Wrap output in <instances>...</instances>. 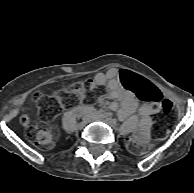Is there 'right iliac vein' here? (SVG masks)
I'll return each mask as SVG.
<instances>
[{
    "instance_id": "right-iliac-vein-1",
    "label": "right iliac vein",
    "mask_w": 194,
    "mask_h": 193,
    "mask_svg": "<svg viewBox=\"0 0 194 193\" xmlns=\"http://www.w3.org/2000/svg\"><path fill=\"white\" fill-rule=\"evenodd\" d=\"M87 123H88L87 121L80 122L77 127L79 129H83L87 125Z\"/></svg>"
}]
</instances>
